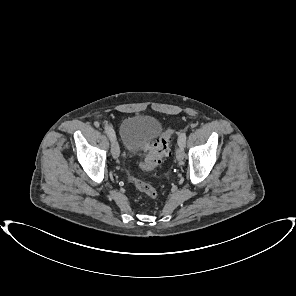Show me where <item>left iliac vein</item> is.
Segmentation results:
<instances>
[{"instance_id":"4c4485c4","label":"left iliac vein","mask_w":296,"mask_h":296,"mask_svg":"<svg viewBox=\"0 0 296 296\" xmlns=\"http://www.w3.org/2000/svg\"><path fill=\"white\" fill-rule=\"evenodd\" d=\"M185 153H184V145H179L176 150V158L178 161H182L184 159Z\"/></svg>"}]
</instances>
